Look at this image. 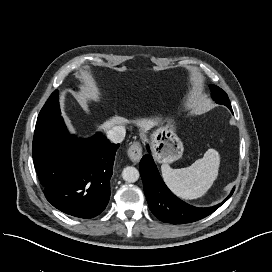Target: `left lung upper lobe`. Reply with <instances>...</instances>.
<instances>
[{"label": "left lung upper lobe", "mask_w": 272, "mask_h": 272, "mask_svg": "<svg viewBox=\"0 0 272 272\" xmlns=\"http://www.w3.org/2000/svg\"><path fill=\"white\" fill-rule=\"evenodd\" d=\"M210 89L212 90V97L216 101V103L223 104L227 106L228 108L231 107L229 98L222 89H220L219 87L215 85H210Z\"/></svg>", "instance_id": "1"}]
</instances>
